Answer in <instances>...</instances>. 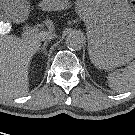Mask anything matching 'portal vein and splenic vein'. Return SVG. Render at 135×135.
I'll return each instance as SVG.
<instances>
[{
  "label": "portal vein and splenic vein",
  "instance_id": "portal-vein-and-splenic-vein-1",
  "mask_svg": "<svg viewBox=\"0 0 135 135\" xmlns=\"http://www.w3.org/2000/svg\"><path fill=\"white\" fill-rule=\"evenodd\" d=\"M38 32L37 28H28L24 31L23 36H29ZM0 33H4V30L0 29Z\"/></svg>",
  "mask_w": 135,
  "mask_h": 135
}]
</instances>
